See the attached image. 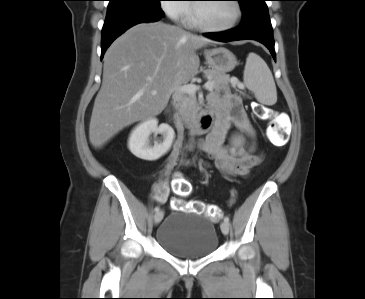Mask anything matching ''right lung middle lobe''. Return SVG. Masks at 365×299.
I'll return each instance as SVG.
<instances>
[{"label": "right lung middle lobe", "mask_w": 365, "mask_h": 299, "mask_svg": "<svg viewBox=\"0 0 365 299\" xmlns=\"http://www.w3.org/2000/svg\"><path fill=\"white\" fill-rule=\"evenodd\" d=\"M108 12L117 11L127 7H156L161 8V0H109Z\"/></svg>", "instance_id": "obj_1"}]
</instances>
